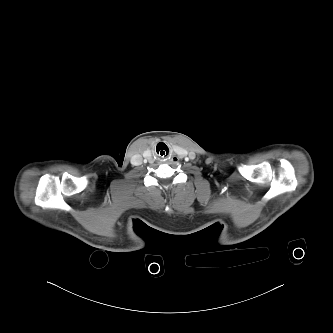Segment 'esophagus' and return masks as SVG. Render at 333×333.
<instances>
[{
	"label": "esophagus",
	"mask_w": 333,
	"mask_h": 333,
	"mask_svg": "<svg viewBox=\"0 0 333 333\" xmlns=\"http://www.w3.org/2000/svg\"><path fill=\"white\" fill-rule=\"evenodd\" d=\"M172 160H173V161H178L179 158H178V157H174V158H172Z\"/></svg>",
	"instance_id": "1"
}]
</instances>
